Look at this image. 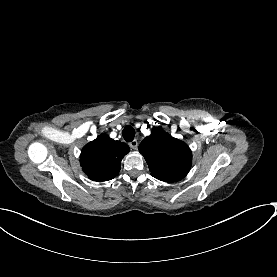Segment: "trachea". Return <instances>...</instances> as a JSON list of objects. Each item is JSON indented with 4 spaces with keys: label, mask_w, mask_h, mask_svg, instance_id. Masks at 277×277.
I'll use <instances>...</instances> for the list:
<instances>
[{
    "label": "trachea",
    "mask_w": 277,
    "mask_h": 277,
    "mask_svg": "<svg viewBox=\"0 0 277 277\" xmlns=\"http://www.w3.org/2000/svg\"><path fill=\"white\" fill-rule=\"evenodd\" d=\"M122 136L126 142H131L135 137V130L131 125L124 127L122 131Z\"/></svg>",
    "instance_id": "1"
}]
</instances>
